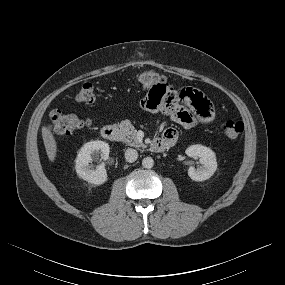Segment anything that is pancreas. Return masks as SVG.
Returning <instances> with one entry per match:
<instances>
[{"instance_id":"pancreas-1","label":"pancreas","mask_w":285,"mask_h":285,"mask_svg":"<svg viewBox=\"0 0 285 285\" xmlns=\"http://www.w3.org/2000/svg\"><path fill=\"white\" fill-rule=\"evenodd\" d=\"M118 126L122 135V140L125 143L136 148L144 146V144L137 139L136 130L130 121H122Z\"/></svg>"}]
</instances>
